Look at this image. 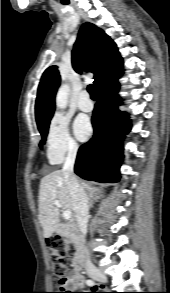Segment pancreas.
Returning a JSON list of instances; mask_svg holds the SVG:
<instances>
[{
    "label": "pancreas",
    "instance_id": "1",
    "mask_svg": "<svg viewBox=\"0 0 170 293\" xmlns=\"http://www.w3.org/2000/svg\"><path fill=\"white\" fill-rule=\"evenodd\" d=\"M65 238H66V240L68 242H73L74 245H75V248H78V246H79V239H78L77 236L69 234V235H66Z\"/></svg>",
    "mask_w": 170,
    "mask_h": 293
}]
</instances>
